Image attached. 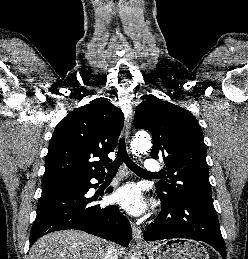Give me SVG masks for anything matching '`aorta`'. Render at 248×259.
<instances>
[{
    "label": "aorta",
    "mask_w": 248,
    "mask_h": 259,
    "mask_svg": "<svg viewBox=\"0 0 248 259\" xmlns=\"http://www.w3.org/2000/svg\"><path fill=\"white\" fill-rule=\"evenodd\" d=\"M132 152L139 154L151 148V142L146 134H138L131 144Z\"/></svg>",
    "instance_id": "1"
}]
</instances>
